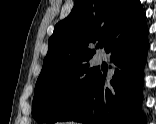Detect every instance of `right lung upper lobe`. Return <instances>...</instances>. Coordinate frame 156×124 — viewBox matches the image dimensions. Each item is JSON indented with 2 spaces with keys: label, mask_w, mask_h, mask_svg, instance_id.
I'll list each match as a JSON object with an SVG mask.
<instances>
[{
  "label": "right lung upper lobe",
  "mask_w": 156,
  "mask_h": 124,
  "mask_svg": "<svg viewBox=\"0 0 156 124\" xmlns=\"http://www.w3.org/2000/svg\"><path fill=\"white\" fill-rule=\"evenodd\" d=\"M145 26L139 0H77L48 40L49 50L39 78L89 61L95 53L91 47L100 39L107 50L126 32Z\"/></svg>",
  "instance_id": "cb5924a9"
}]
</instances>
